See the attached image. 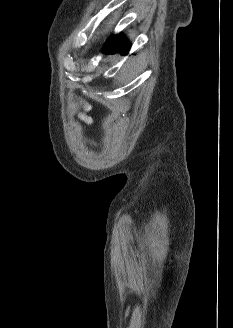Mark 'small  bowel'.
<instances>
[{"label": "small bowel", "instance_id": "1", "mask_svg": "<svg viewBox=\"0 0 233 328\" xmlns=\"http://www.w3.org/2000/svg\"><path fill=\"white\" fill-rule=\"evenodd\" d=\"M87 109L89 110L90 107L88 106ZM80 118H81L83 121H85L86 123H88V124L93 123V119H92L91 117H89V116L84 115V114H81V115H80Z\"/></svg>", "mask_w": 233, "mask_h": 328}]
</instances>
